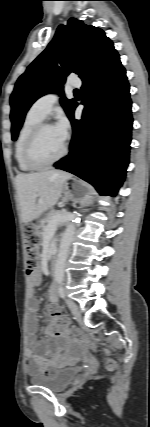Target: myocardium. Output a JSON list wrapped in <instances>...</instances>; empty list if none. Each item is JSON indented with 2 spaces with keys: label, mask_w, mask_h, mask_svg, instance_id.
I'll return each mask as SVG.
<instances>
[{
  "label": "myocardium",
  "mask_w": 150,
  "mask_h": 427,
  "mask_svg": "<svg viewBox=\"0 0 150 427\" xmlns=\"http://www.w3.org/2000/svg\"><path fill=\"white\" fill-rule=\"evenodd\" d=\"M50 127H56L53 123L50 122H41L38 125H36L32 131L30 132L26 142H25V146H24V159L25 162L32 168L35 170H40V169H45L48 168L54 164H56L57 162H59L60 160H62L69 151V144L68 141H66L65 146L63 148V151L60 153V155H58L56 158H54L53 160L46 162V163H38L33 159V147L35 145V142L38 138V136L40 135V133L46 129V128H50Z\"/></svg>",
  "instance_id": "obj_1"
}]
</instances>
